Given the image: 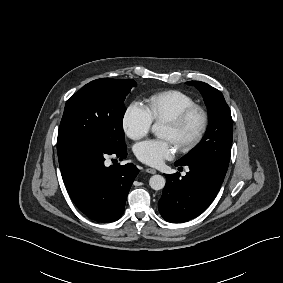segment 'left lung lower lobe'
<instances>
[{
  "mask_svg": "<svg viewBox=\"0 0 283 283\" xmlns=\"http://www.w3.org/2000/svg\"><path fill=\"white\" fill-rule=\"evenodd\" d=\"M186 165L190 171L184 177L179 173L165 175L167 182L158 206L169 222H186L200 215L215 199L226 174L207 164Z\"/></svg>",
  "mask_w": 283,
  "mask_h": 283,
  "instance_id": "left-lung-lower-lobe-1",
  "label": "left lung lower lobe"
}]
</instances>
